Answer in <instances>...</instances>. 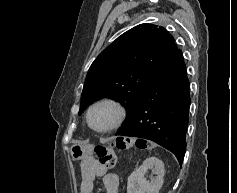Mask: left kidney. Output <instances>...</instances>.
Wrapping results in <instances>:
<instances>
[{
	"label": "left kidney",
	"instance_id": "left-kidney-1",
	"mask_svg": "<svg viewBox=\"0 0 237 193\" xmlns=\"http://www.w3.org/2000/svg\"><path fill=\"white\" fill-rule=\"evenodd\" d=\"M152 169L156 177L149 182L145 175ZM164 164L156 157L147 158L142 165L134 171L127 182V193H159L163 185Z\"/></svg>",
	"mask_w": 237,
	"mask_h": 193
}]
</instances>
